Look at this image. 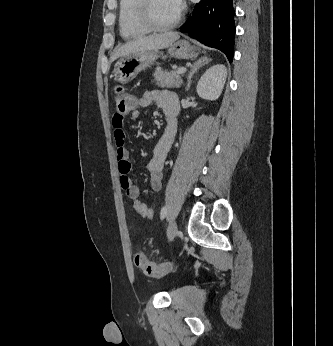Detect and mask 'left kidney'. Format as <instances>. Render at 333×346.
I'll use <instances>...</instances> for the list:
<instances>
[{
    "instance_id": "left-kidney-1",
    "label": "left kidney",
    "mask_w": 333,
    "mask_h": 346,
    "mask_svg": "<svg viewBox=\"0 0 333 346\" xmlns=\"http://www.w3.org/2000/svg\"><path fill=\"white\" fill-rule=\"evenodd\" d=\"M227 76V69L223 64L213 65L201 76L197 84L198 95L207 100H216L222 93Z\"/></svg>"
}]
</instances>
